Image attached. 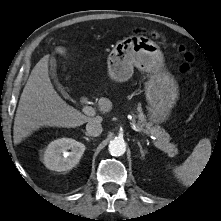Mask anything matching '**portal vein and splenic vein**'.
<instances>
[{
	"label": "portal vein and splenic vein",
	"mask_w": 221,
	"mask_h": 221,
	"mask_svg": "<svg viewBox=\"0 0 221 221\" xmlns=\"http://www.w3.org/2000/svg\"><path fill=\"white\" fill-rule=\"evenodd\" d=\"M83 112H84L86 115H88V116H95V114H96L94 108L91 107V106H85V107L83 108ZM153 144H154L157 148L160 149V146H159V144L157 143V141H153Z\"/></svg>",
	"instance_id": "portal-vein-and-splenic-vein-1"
}]
</instances>
